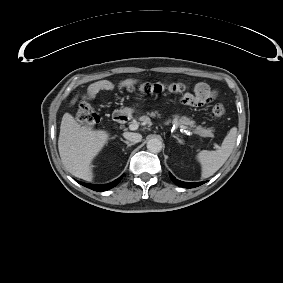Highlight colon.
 <instances>
[{
  "mask_svg": "<svg viewBox=\"0 0 283 283\" xmlns=\"http://www.w3.org/2000/svg\"><path fill=\"white\" fill-rule=\"evenodd\" d=\"M212 115L216 118L224 115V108L222 105H215L212 109ZM79 120L84 131H91L99 122V117L93 113L90 106L82 103L79 106Z\"/></svg>",
  "mask_w": 283,
  "mask_h": 283,
  "instance_id": "1",
  "label": "colon"
}]
</instances>
